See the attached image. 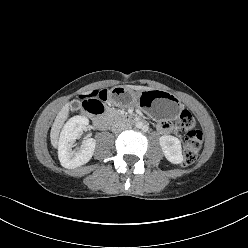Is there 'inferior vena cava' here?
Segmentation results:
<instances>
[{"instance_id":"inferior-vena-cava-1","label":"inferior vena cava","mask_w":248,"mask_h":248,"mask_svg":"<svg viewBox=\"0 0 248 248\" xmlns=\"http://www.w3.org/2000/svg\"><path fill=\"white\" fill-rule=\"evenodd\" d=\"M128 128H130V125L129 124H125L123 122H116V123H114L112 125V131L114 133H120L123 130L128 129Z\"/></svg>"}]
</instances>
